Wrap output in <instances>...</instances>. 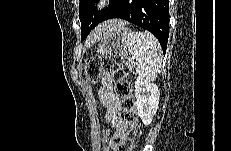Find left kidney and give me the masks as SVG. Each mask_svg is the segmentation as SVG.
<instances>
[{
    "instance_id": "obj_1",
    "label": "left kidney",
    "mask_w": 231,
    "mask_h": 151,
    "mask_svg": "<svg viewBox=\"0 0 231 151\" xmlns=\"http://www.w3.org/2000/svg\"><path fill=\"white\" fill-rule=\"evenodd\" d=\"M160 92L158 86L151 81L138 77L135 81V105L137 114L144 125L152 122L159 104Z\"/></svg>"
}]
</instances>
